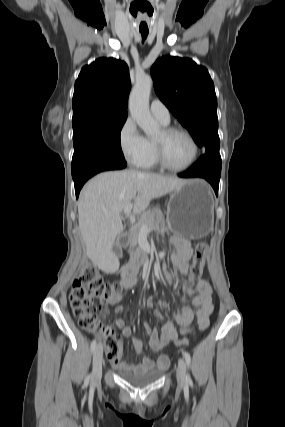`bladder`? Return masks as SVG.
<instances>
[{
    "instance_id": "bladder-1",
    "label": "bladder",
    "mask_w": 285,
    "mask_h": 427,
    "mask_svg": "<svg viewBox=\"0 0 285 427\" xmlns=\"http://www.w3.org/2000/svg\"><path fill=\"white\" fill-rule=\"evenodd\" d=\"M164 371L162 369H158L151 372L136 374L131 371H121L120 374L122 377L129 382L130 384L142 387L154 383L157 381L162 375Z\"/></svg>"
}]
</instances>
